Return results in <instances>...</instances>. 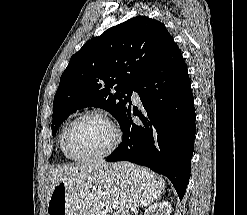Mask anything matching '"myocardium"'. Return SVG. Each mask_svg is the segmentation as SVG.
I'll return each instance as SVG.
<instances>
[{"label":"myocardium","instance_id":"1","mask_svg":"<svg viewBox=\"0 0 247 215\" xmlns=\"http://www.w3.org/2000/svg\"><path fill=\"white\" fill-rule=\"evenodd\" d=\"M86 118L100 119L106 122L113 130V133H114L113 141L106 150L100 153H97V154H92V155H79L74 151L73 144H72V135H73L74 128L81 120L86 119ZM121 138H122L121 130L119 126L117 125V123L111 117L99 111H88V112H84L80 114L79 116H77L70 122L67 132H66L65 142H66V148H67L68 154L70 155L72 159L76 161H96V160H101V159H104L110 156L118 148L121 142Z\"/></svg>","mask_w":247,"mask_h":215}]
</instances>
